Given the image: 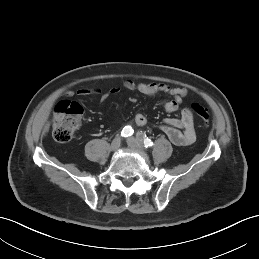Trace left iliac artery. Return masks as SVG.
Here are the masks:
<instances>
[{"label":"left iliac artery","mask_w":259,"mask_h":259,"mask_svg":"<svg viewBox=\"0 0 259 259\" xmlns=\"http://www.w3.org/2000/svg\"><path fill=\"white\" fill-rule=\"evenodd\" d=\"M137 140L139 141L140 144H142L145 148L153 146V142L146 137H143L140 133L137 134Z\"/></svg>","instance_id":"obj_1"}]
</instances>
